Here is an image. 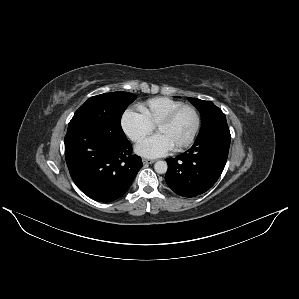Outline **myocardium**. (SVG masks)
Listing matches in <instances>:
<instances>
[{
    "instance_id": "1",
    "label": "myocardium",
    "mask_w": 299,
    "mask_h": 299,
    "mask_svg": "<svg viewBox=\"0 0 299 299\" xmlns=\"http://www.w3.org/2000/svg\"><path fill=\"white\" fill-rule=\"evenodd\" d=\"M185 109H189V110H191L194 113L195 119H196V123H195V127H194L193 132L190 135V137L185 142H183L181 145L175 147L174 148L175 151H181V150L189 147L194 142V140H195V138H196V136H197V134L199 132L200 126H201V116H200V113H199L198 109L196 107L192 106V105H182V106L174 109L170 113H168L155 126V129L158 130V128L170 124L176 118V116L181 111H183Z\"/></svg>"
}]
</instances>
